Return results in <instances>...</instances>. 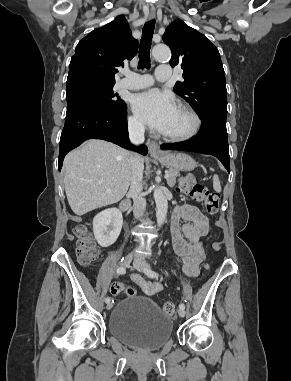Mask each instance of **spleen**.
<instances>
[{
	"mask_svg": "<svg viewBox=\"0 0 291 381\" xmlns=\"http://www.w3.org/2000/svg\"><path fill=\"white\" fill-rule=\"evenodd\" d=\"M213 188L216 192H221V184L217 175L213 176Z\"/></svg>",
	"mask_w": 291,
	"mask_h": 381,
	"instance_id": "3e777b00",
	"label": "spleen"
}]
</instances>
